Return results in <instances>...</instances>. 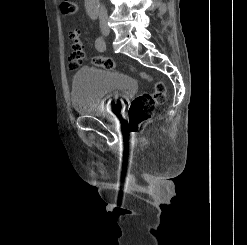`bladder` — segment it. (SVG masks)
Returning a JSON list of instances; mask_svg holds the SVG:
<instances>
[{
	"mask_svg": "<svg viewBox=\"0 0 247 245\" xmlns=\"http://www.w3.org/2000/svg\"><path fill=\"white\" fill-rule=\"evenodd\" d=\"M136 89V80L128 74L86 67L73 77L71 102L79 114L104 117L117 113L122 102Z\"/></svg>",
	"mask_w": 247,
	"mask_h": 245,
	"instance_id": "31cf9c89",
	"label": "bladder"
}]
</instances>
